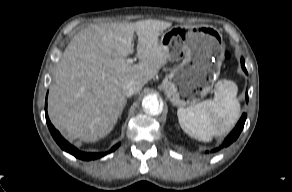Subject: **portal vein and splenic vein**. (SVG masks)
I'll return each mask as SVG.
<instances>
[{
	"instance_id": "18ae733b",
	"label": "portal vein and splenic vein",
	"mask_w": 292,
	"mask_h": 192,
	"mask_svg": "<svg viewBox=\"0 0 292 192\" xmlns=\"http://www.w3.org/2000/svg\"><path fill=\"white\" fill-rule=\"evenodd\" d=\"M127 63L132 64L133 63V59H127Z\"/></svg>"
}]
</instances>
